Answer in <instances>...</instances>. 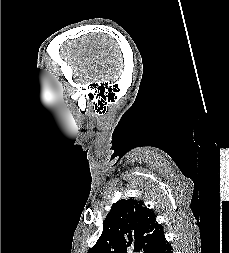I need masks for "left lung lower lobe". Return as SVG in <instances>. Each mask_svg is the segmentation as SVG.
<instances>
[{"label": "left lung lower lobe", "mask_w": 229, "mask_h": 253, "mask_svg": "<svg viewBox=\"0 0 229 253\" xmlns=\"http://www.w3.org/2000/svg\"><path fill=\"white\" fill-rule=\"evenodd\" d=\"M153 253H173L171 244H169L164 237Z\"/></svg>", "instance_id": "0a47b994"}]
</instances>
